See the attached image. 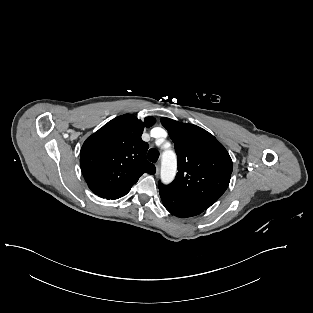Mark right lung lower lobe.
Masks as SVG:
<instances>
[{
    "label": "right lung lower lobe",
    "instance_id": "1",
    "mask_svg": "<svg viewBox=\"0 0 313 313\" xmlns=\"http://www.w3.org/2000/svg\"><path fill=\"white\" fill-rule=\"evenodd\" d=\"M129 191H130V190H127V191H124V192H121V193L115 194V195L110 196V197H108V198H106V199H111V200L118 199V198H120V197H122V196L126 195Z\"/></svg>",
    "mask_w": 313,
    "mask_h": 313
}]
</instances>
